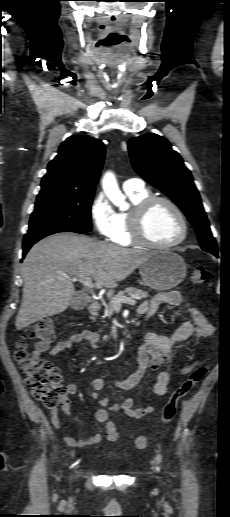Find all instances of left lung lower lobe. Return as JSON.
Instances as JSON below:
<instances>
[{
	"label": "left lung lower lobe",
	"instance_id": "0a47b994",
	"mask_svg": "<svg viewBox=\"0 0 230 517\" xmlns=\"http://www.w3.org/2000/svg\"><path fill=\"white\" fill-rule=\"evenodd\" d=\"M213 255H215L216 257H218V252H215Z\"/></svg>",
	"mask_w": 230,
	"mask_h": 517
}]
</instances>
